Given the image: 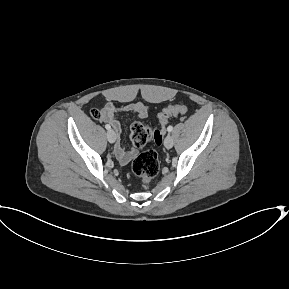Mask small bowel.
Wrapping results in <instances>:
<instances>
[{
  "instance_id": "1",
  "label": "small bowel",
  "mask_w": 289,
  "mask_h": 289,
  "mask_svg": "<svg viewBox=\"0 0 289 289\" xmlns=\"http://www.w3.org/2000/svg\"><path fill=\"white\" fill-rule=\"evenodd\" d=\"M119 111L134 113L139 118H146L149 115V108L142 103H130L121 110H118L113 102H107L100 111L99 119L109 123L117 134H120L122 131L121 121L117 117ZM114 151L121 164L129 163L137 154L136 149H126L120 142L116 143Z\"/></svg>"
}]
</instances>
